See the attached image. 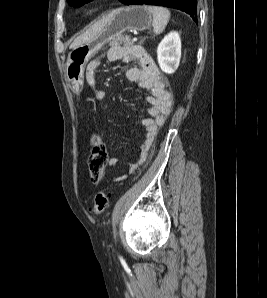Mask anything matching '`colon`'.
I'll return each mask as SVG.
<instances>
[{"label": "colon", "instance_id": "obj_1", "mask_svg": "<svg viewBox=\"0 0 267 298\" xmlns=\"http://www.w3.org/2000/svg\"><path fill=\"white\" fill-rule=\"evenodd\" d=\"M109 163L106 148L97 134H92L90 138L89 153V174L91 181L98 184L103 179ZM108 206V193L98 192L94 197L93 212L96 215L102 214Z\"/></svg>", "mask_w": 267, "mask_h": 298}]
</instances>
